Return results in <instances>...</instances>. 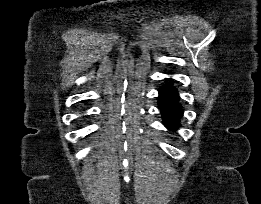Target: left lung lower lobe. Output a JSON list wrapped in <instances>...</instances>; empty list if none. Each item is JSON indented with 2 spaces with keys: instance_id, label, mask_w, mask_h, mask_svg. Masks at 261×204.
<instances>
[{
  "instance_id": "left-lung-lower-lobe-1",
  "label": "left lung lower lobe",
  "mask_w": 261,
  "mask_h": 204,
  "mask_svg": "<svg viewBox=\"0 0 261 204\" xmlns=\"http://www.w3.org/2000/svg\"><path fill=\"white\" fill-rule=\"evenodd\" d=\"M179 100L178 91L172 83L159 89L158 105L164 125L169 130H176L180 126L179 120L183 116V110Z\"/></svg>"
}]
</instances>
